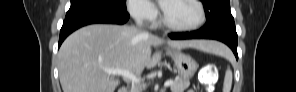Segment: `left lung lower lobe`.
<instances>
[{"label":"left lung lower lobe","instance_id":"left-lung-lower-lobe-1","mask_svg":"<svg viewBox=\"0 0 296 92\" xmlns=\"http://www.w3.org/2000/svg\"><path fill=\"white\" fill-rule=\"evenodd\" d=\"M171 39L183 40V39H214L219 40L227 44L232 51L234 52L236 58L238 59L237 54V33L236 29L224 28L215 32L206 33L202 29L194 32H185V33H171L169 34Z\"/></svg>","mask_w":296,"mask_h":92}]
</instances>
